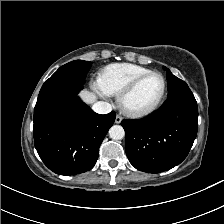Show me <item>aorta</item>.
I'll return each instance as SVG.
<instances>
[{
  "instance_id": "1",
  "label": "aorta",
  "mask_w": 224,
  "mask_h": 224,
  "mask_svg": "<svg viewBox=\"0 0 224 224\" xmlns=\"http://www.w3.org/2000/svg\"><path fill=\"white\" fill-rule=\"evenodd\" d=\"M109 136L113 140H121L125 136V131L120 125H113L109 129Z\"/></svg>"
}]
</instances>
